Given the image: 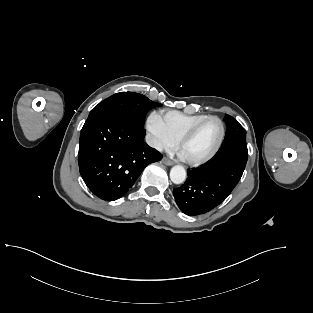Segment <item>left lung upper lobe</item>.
Listing matches in <instances>:
<instances>
[{
	"mask_svg": "<svg viewBox=\"0 0 313 313\" xmlns=\"http://www.w3.org/2000/svg\"><path fill=\"white\" fill-rule=\"evenodd\" d=\"M224 121L227 125V131L222 145L234 140H246V130L235 118L226 115Z\"/></svg>",
	"mask_w": 313,
	"mask_h": 313,
	"instance_id": "5c2ea615",
	"label": "left lung upper lobe"
}]
</instances>
